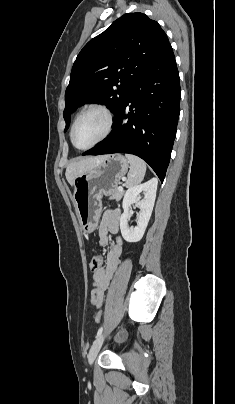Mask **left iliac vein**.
I'll use <instances>...</instances> for the list:
<instances>
[{
  "instance_id": "obj_1",
  "label": "left iliac vein",
  "mask_w": 235,
  "mask_h": 404,
  "mask_svg": "<svg viewBox=\"0 0 235 404\" xmlns=\"http://www.w3.org/2000/svg\"><path fill=\"white\" fill-rule=\"evenodd\" d=\"M105 339V334H101L100 336L97 337V339L94 341L93 345L91 346V349L88 354V361L89 364L92 365L94 360L96 359L98 352L104 342Z\"/></svg>"
}]
</instances>
